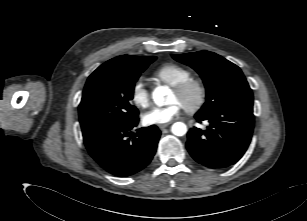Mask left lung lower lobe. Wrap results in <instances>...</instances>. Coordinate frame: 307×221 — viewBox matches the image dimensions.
I'll return each mask as SVG.
<instances>
[{
  "mask_svg": "<svg viewBox=\"0 0 307 221\" xmlns=\"http://www.w3.org/2000/svg\"><path fill=\"white\" fill-rule=\"evenodd\" d=\"M198 122L207 120L206 130L188 132L186 147L200 164L222 169L235 164L246 152L253 133V107L229 106L213 113H196Z\"/></svg>",
  "mask_w": 307,
  "mask_h": 221,
  "instance_id": "0a47b994",
  "label": "left lung lower lobe"
}]
</instances>
